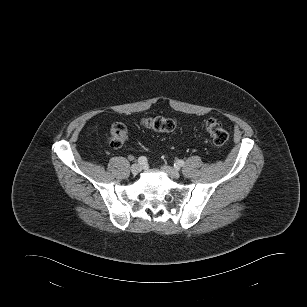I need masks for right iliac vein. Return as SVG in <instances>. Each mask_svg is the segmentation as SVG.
<instances>
[{"label": "right iliac vein", "mask_w": 307, "mask_h": 307, "mask_svg": "<svg viewBox=\"0 0 307 307\" xmlns=\"http://www.w3.org/2000/svg\"><path fill=\"white\" fill-rule=\"evenodd\" d=\"M142 166L138 163H135L131 166V172L133 175H137L141 172Z\"/></svg>", "instance_id": "right-iliac-vein-1"}]
</instances>
